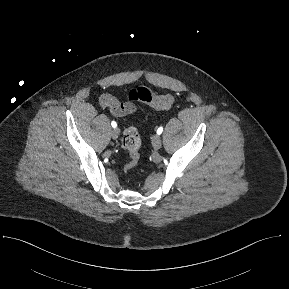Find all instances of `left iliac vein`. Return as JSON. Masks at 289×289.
<instances>
[{
    "mask_svg": "<svg viewBox=\"0 0 289 289\" xmlns=\"http://www.w3.org/2000/svg\"><path fill=\"white\" fill-rule=\"evenodd\" d=\"M152 146L154 149L158 150L162 146V139L159 134H156L152 137Z\"/></svg>",
    "mask_w": 289,
    "mask_h": 289,
    "instance_id": "obj_1",
    "label": "left iliac vein"
}]
</instances>
